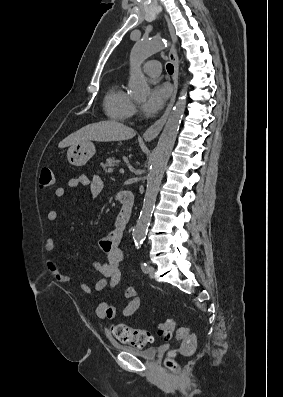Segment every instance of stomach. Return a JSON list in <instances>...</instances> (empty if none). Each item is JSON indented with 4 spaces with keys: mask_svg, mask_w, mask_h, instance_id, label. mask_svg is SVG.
<instances>
[{
    "mask_svg": "<svg viewBox=\"0 0 283 397\" xmlns=\"http://www.w3.org/2000/svg\"><path fill=\"white\" fill-rule=\"evenodd\" d=\"M95 146L91 141L72 145L67 152V159L71 165L83 166L95 154Z\"/></svg>",
    "mask_w": 283,
    "mask_h": 397,
    "instance_id": "obj_1",
    "label": "stomach"
}]
</instances>
